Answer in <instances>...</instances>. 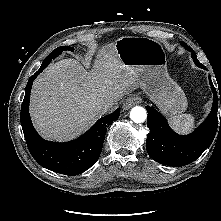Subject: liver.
<instances>
[{
  "label": "liver",
  "mask_w": 221,
  "mask_h": 221,
  "mask_svg": "<svg viewBox=\"0 0 221 221\" xmlns=\"http://www.w3.org/2000/svg\"><path fill=\"white\" fill-rule=\"evenodd\" d=\"M138 86L135 71L122 63L115 44H108L90 72L75 59H63L41 74L31 92V118L44 138L71 140L105 114L103 101H119Z\"/></svg>",
  "instance_id": "1"
}]
</instances>
